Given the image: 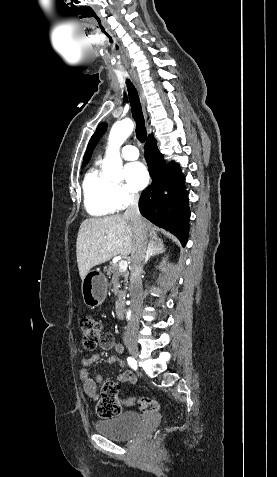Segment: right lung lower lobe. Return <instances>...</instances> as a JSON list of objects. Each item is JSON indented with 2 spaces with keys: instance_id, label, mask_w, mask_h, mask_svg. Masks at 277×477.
Instances as JSON below:
<instances>
[{
  "instance_id": "right-lung-lower-lobe-1",
  "label": "right lung lower lobe",
  "mask_w": 277,
  "mask_h": 477,
  "mask_svg": "<svg viewBox=\"0 0 277 477\" xmlns=\"http://www.w3.org/2000/svg\"><path fill=\"white\" fill-rule=\"evenodd\" d=\"M145 159L152 178L139 199L141 214L159 227L170 231L185 246L188 239L190 210L184 176L179 166H168L158 151L156 140L150 137L145 145ZM168 191L167 194L164 192Z\"/></svg>"
}]
</instances>
